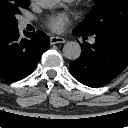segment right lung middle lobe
Listing matches in <instances>:
<instances>
[{
    "label": "right lung middle lobe",
    "mask_w": 128,
    "mask_h": 128,
    "mask_svg": "<svg viewBox=\"0 0 128 128\" xmlns=\"http://www.w3.org/2000/svg\"><path fill=\"white\" fill-rule=\"evenodd\" d=\"M29 7V0H0V30L12 31L18 28L16 15Z\"/></svg>",
    "instance_id": "right-lung-middle-lobe-1"
}]
</instances>
